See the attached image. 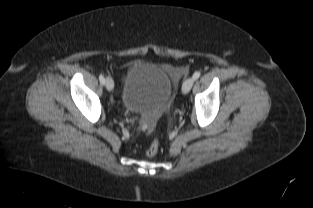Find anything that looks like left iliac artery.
I'll list each match as a JSON object with an SVG mask.
<instances>
[{
    "instance_id": "obj_1",
    "label": "left iliac artery",
    "mask_w": 313,
    "mask_h": 208,
    "mask_svg": "<svg viewBox=\"0 0 313 208\" xmlns=\"http://www.w3.org/2000/svg\"><path fill=\"white\" fill-rule=\"evenodd\" d=\"M201 73L199 71H196L194 74H193V78L196 80L200 77Z\"/></svg>"
}]
</instances>
